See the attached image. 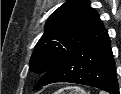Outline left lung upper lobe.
Listing matches in <instances>:
<instances>
[{
    "instance_id": "1",
    "label": "left lung upper lobe",
    "mask_w": 121,
    "mask_h": 94,
    "mask_svg": "<svg viewBox=\"0 0 121 94\" xmlns=\"http://www.w3.org/2000/svg\"><path fill=\"white\" fill-rule=\"evenodd\" d=\"M106 29L89 0H68L48 19L34 48L30 69L45 73L65 56Z\"/></svg>"
}]
</instances>
